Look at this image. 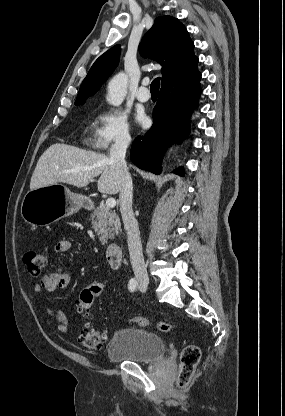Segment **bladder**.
<instances>
[{
    "mask_svg": "<svg viewBox=\"0 0 285 416\" xmlns=\"http://www.w3.org/2000/svg\"><path fill=\"white\" fill-rule=\"evenodd\" d=\"M166 353V340L152 330L127 328L117 330L108 347L113 361L151 363Z\"/></svg>",
    "mask_w": 285,
    "mask_h": 416,
    "instance_id": "bladder-1",
    "label": "bladder"
}]
</instances>
